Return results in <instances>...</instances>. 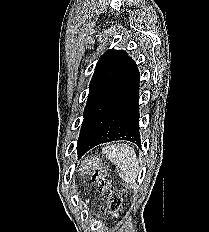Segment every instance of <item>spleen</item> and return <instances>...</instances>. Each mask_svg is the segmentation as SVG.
<instances>
[{"label": "spleen", "mask_w": 209, "mask_h": 232, "mask_svg": "<svg viewBox=\"0 0 209 232\" xmlns=\"http://www.w3.org/2000/svg\"><path fill=\"white\" fill-rule=\"evenodd\" d=\"M103 153L119 167V176L126 182L129 188L134 189L139 173V165L134 149L126 144H114L104 147Z\"/></svg>", "instance_id": "obj_1"}]
</instances>
